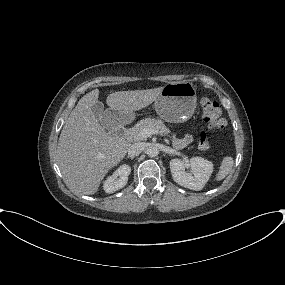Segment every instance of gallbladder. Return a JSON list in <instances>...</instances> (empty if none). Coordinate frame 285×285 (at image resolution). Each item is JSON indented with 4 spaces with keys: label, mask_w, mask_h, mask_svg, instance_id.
Wrapping results in <instances>:
<instances>
[{
    "label": "gallbladder",
    "mask_w": 285,
    "mask_h": 285,
    "mask_svg": "<svg viewBox=\"0 0 285 285\" xmlns=\"http://www.w3.org/2000/svg\"><path fill=\"white\" fill-rule=\"evenodd\" d=\"M91 109L95 118L103 124L105 116L104 104L100 101H97L92 105Z\"/></svg>",
    "instance_id": "bac80fb5"
}]
</instances>
